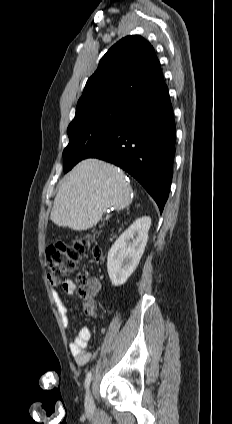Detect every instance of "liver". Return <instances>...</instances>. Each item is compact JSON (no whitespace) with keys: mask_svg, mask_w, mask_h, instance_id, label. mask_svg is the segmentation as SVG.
I'll use <instances>...</instances> for the list:
<instances>
[{"mask_svg":"<svg viewBox=\"0 0 232 424\" xmlns=\"http://www.w3.org/2000/svg\"><path fill=\"white\" fill-rule=\"evenodd\" d=\"M132 195L121 170L99 159H85L62 180L50 219L59 227L87 230L101 220L107 208L128 207Z\"/></svg>","mask_w":232,"mask_h":424,"instance_id":"liver-1","label":"liver"}]
</instances>
